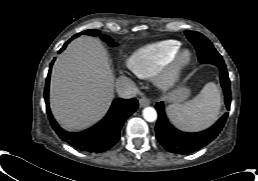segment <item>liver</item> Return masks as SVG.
Wrapping results in <instances>:
<instances>
[{"label": "liver", "instance_id": "obj_1", "mask_svg": "<svg viewBox=\"0 0 258 181\" xmlns=\"http://www.w3.org/2000/svg\"><path fill=\"white\" fill-rule=\"evenodd\" d=\"M114 76L107 53L93 37L73 40L54 63L50 106L58 123L70 131L87 128L108 110Z\"/></svg>", "mask_w": 258, "mask_h": 181}]
</instances>
